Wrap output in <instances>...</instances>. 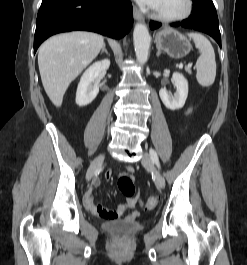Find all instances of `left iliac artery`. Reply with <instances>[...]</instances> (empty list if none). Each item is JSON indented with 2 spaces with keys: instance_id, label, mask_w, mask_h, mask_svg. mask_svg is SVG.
I'll use <instances>...</instances> for the list:
<instances>
[{
  "instance_id": "left-iliac-artery-1",
  "label": "left iliac artery",
  "mask_w": 247,
  "mask_h": 265,
  "mask_svg": "<svg viewBox=\"0 0 247 265\" xmlns=\"http://www.w3.org/2000/svg\"><path fill=\"white\" fill-rule=\"evenodd\" d=\"M149 152L152 162L155 163L158 168H160V163L156 151L151 148Z\"/></svg>"
}]
</instances>
